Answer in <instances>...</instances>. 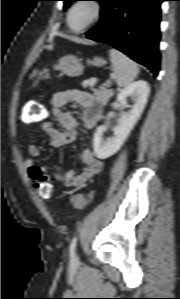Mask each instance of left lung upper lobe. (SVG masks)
I'll list each match as a JSON object with an SVG mask.
<instances>
[{"label": "left lung upper lobe", "instance_id": "1", "mask_svg": "<svg viewBox=\"0 0 180 299\" xmlns=\"http://www.w3.org/2000/svg\"><path fill=\"white\" fill-rule=\"evenodd\" d=\"M62 1L65 2L64 9H66L70 5L71 2L78 1V0H62ZM94 1H99L101 3L103 0H94Z\"/></svg>", "mask_w": 180, "mask_h": 299}]
</instances>
